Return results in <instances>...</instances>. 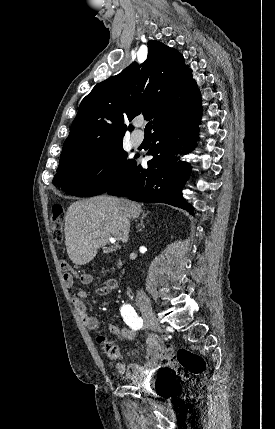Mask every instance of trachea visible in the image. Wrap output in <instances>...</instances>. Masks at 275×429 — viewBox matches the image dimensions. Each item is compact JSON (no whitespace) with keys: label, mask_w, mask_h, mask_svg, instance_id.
I'll list each match as a JSON object with an SVG mask.
<instances>
[{"label":"trachea","mask_w":275,"mask_h":429,"mask_svg":"<svg viewBox=\"0 0 275 429\" xmlns=\"http://www.w3.org/2000/svg\"><path fill=\"white\" fill-rule=\"evenodd\" d=\"M152 121H149L145 126V133H151Z\"/></svg>","instance_id":"trachea-1"}]
</instances>
